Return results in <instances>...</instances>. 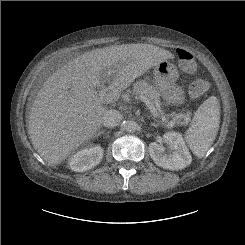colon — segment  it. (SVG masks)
<instances>
[{"label":"colon","mask_w":245,"mask_h":245,"mask_svg":"<svg viewBox=\"0 0 245 245\" xmlns=\"http://www.w3.org/2000/svg\"><path fill=\"white\" fill-rule=\"evenodd\" d=\"M177 56L179 60V67L185 73H193L196 70L197 64L194 56L187 50L178 49ZM209 89L208 81L197 78L193 80L188 89L190 98H198L204 95Z\"/></svg>","instance_id":"colon-1"}]
</instances>
